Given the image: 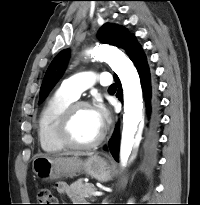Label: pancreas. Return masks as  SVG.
<instances>
[{
  "mask_svg": "<svg viewBox=\"0 0 200 205\" xmlns=\"http://www.w3.org/2000/svg\"><path fill=\"white\" fill-rule=\"evenodd\" d=\"M96 191V187L92 183H83L80 178L70 185L69 197L72 201H85L86 198L92 197V192Z\"/></svg>",
  "mask_w": 200,
  "mask_h": 205,
  "instance_id": "pancreas-1",
  "label": "pancreas"
}]
</instances>
